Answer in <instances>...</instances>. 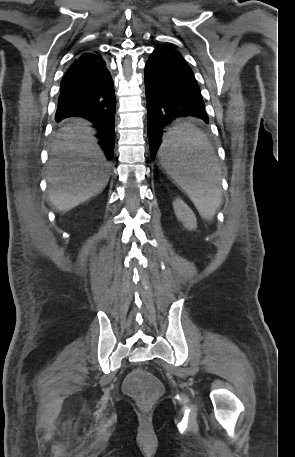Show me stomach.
<instances>
[{"label":"stomach","instance_id":"obj_1","mask_svg":"<svg viewBox=\"0 0 295 457\" xmlns=\"http://www.w3.org/2000/svg\"><path fill=\"white\" fill-rule=\"evenodd\" d=\"M160 162H161L162 165H164L167 162V160L163 159V158H160Z\"/></svg>","mask_w":295,"mask_h":457}]
</instances>
